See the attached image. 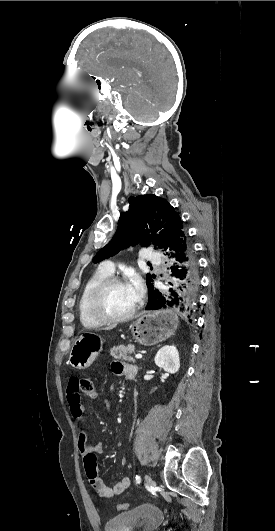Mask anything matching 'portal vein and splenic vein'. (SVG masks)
Listing matches in <instances>:
<instances>
[{
	"label": "portal vein and splenic vein",
	"instance_id": "portal-vein-and-splenic-vein-1",
	"mask_svg": "<svg viewBox=\"0 0 275 531\" xmlns=\"http://www.w3.org/2000/svg\"><path fill=\"white\" fill-rule=\"evenodd\" d=\"M136 359H142V355H135Z\"/></svg>",
	"mask_w": 275,
	"mask_h": 531
}]
</instances>
